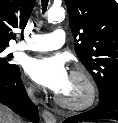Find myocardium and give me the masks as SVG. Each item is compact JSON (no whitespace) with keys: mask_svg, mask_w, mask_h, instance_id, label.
Listing matches in <instances>:
<instances>
[{"mask_svg":"<svg viewBox=\"0 0 118 123\" xmlns=\"http://www.w3.org/2000/svg\"><path fill=\"white\" fill-rule=\"evenodd\" d=\"M70 77L80 80L84 83L86 88V94L84 98L77 102H71L64 99L61 95H55V101L61 107L71 111H82L90 108L96 102L98 91L95 81L91 75L84 70H74L71 72Z\"/></svg>","mask_w":118,"mask_h":123,"instance_id":"obj_1","label":"myocardium"}]
</instances>
